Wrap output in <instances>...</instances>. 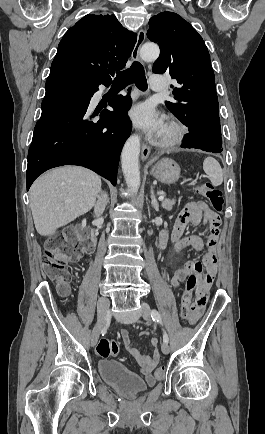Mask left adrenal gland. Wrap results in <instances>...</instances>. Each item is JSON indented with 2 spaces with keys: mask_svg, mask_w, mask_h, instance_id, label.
Returning a JSON list of instances; mask_svg holds the SVG:
<instances>
[{
  "mask_svg": "<svg viewBox=\"0 0 265 434\" xmlns=\"http://www.w3.org/2000/svg\"><path fill=\"white\" fill-rule=\"evenodd\" d=\"M150 188H151V204L154 210H156V212H159V204L156 200V196H154L153 186H150Z\"/></svg>",
  "mask_w": 265,
  "mask_h": 434,
  "instance_id": "obj_1",
  "label": "left adrenal gland"
}]
</instances>
